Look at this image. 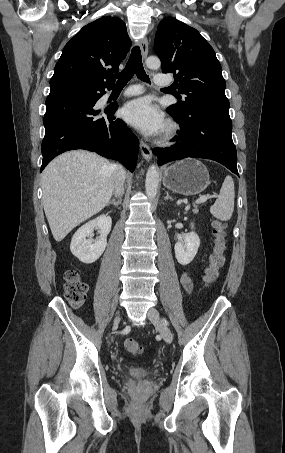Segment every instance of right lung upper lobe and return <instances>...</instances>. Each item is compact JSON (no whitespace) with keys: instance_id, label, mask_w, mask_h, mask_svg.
<instances>
[{"instance_id":"obj_1","label":"right lung upper lobe","mask_w":285,"mask_h":453,"mask_svg":"<svg viewBox=\"0 0 285 453\" xmlns=\"http://www.w3.org/2000/svg\"><path fill=\"white\" fill-rule=\"evenodd\" d=\"M131 46L125 23L116 17H101L84 26L63 48L54 68L50 88L79 86L92 91L111 88L113 72Z\"/></svg>"}]
</instances>
